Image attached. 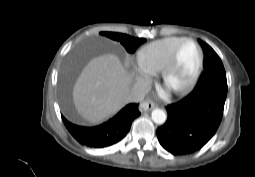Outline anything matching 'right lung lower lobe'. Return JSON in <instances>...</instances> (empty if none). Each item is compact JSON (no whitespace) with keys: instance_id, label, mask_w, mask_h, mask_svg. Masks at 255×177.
<instances>
[{"instance_id":"98d812e1","label":"right lung lower lobe","mask_w":255,"mask_h":177,"mask_svg":"<svg viewBox=\"0 0 255 177\" xmlns=\"http://www.w3.org/2000/svg\"><path fill=\"white\" fill-rule=\"evenodd\" d=\"M139 115L138 105L131 103L112 119L96 127H82L69 122L63 116L62 119L68 131L79 143L88 147L104 148L122 140L129 132L132 121Z\"/></svg>"}]
</instances>
